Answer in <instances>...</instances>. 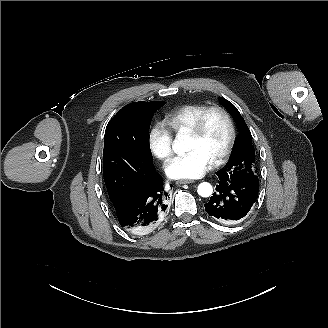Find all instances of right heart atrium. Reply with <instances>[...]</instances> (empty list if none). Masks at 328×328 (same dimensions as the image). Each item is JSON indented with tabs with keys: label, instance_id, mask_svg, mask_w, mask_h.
<instances>
[{
	"label": "right heart atrium",
	"instance_id": "d8ad5b80",
	"mask_svg": "<svg viewBox=\"0 0 328 328\" xmlns=\"http://www.w3.org/2000/svg\"><path fill=\"white\" fill-rule=\"evenodd\" d=\"M150 152L160 160H166L173 154V139L167 126L162 121H155L148 131Z\"/></svg>",
	"mask_w": 328,
	"mask_h": 328
}]
</instances>
